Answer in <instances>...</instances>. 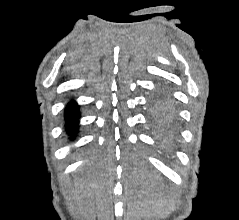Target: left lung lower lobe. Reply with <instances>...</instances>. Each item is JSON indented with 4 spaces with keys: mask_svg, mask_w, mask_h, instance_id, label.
Masks as SVG:
<instances>
[{
    "mask_svg": "<svg viewBox=\"0 0 239 220\" xmlns=\"http://www.w3.org/2000/svg\"><path fill=\"white\" fill-rule=\"evenodd\" d=\"M161 130H162L163 134L165 135V137L169 138V136L171 134V125H170V123L168 124V122H166L163 126H161Z\"/></svg>",
    "mask_w": 239,
    "mask_h": 220,
    "instance_id": "left-lung-lower-lobe-1",
    "label": "left lung lower lobe"
}]
</instances>
